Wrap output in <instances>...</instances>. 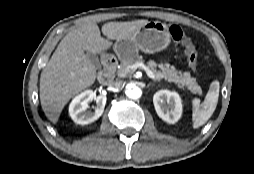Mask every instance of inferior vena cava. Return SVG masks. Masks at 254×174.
Here are the masks:
<instances>
[{"label": "inferior vena cava", "mask_w": 254, "mask_h": 174, "mask_svg": "<svg viewBox=\"0 0 254 174\" xmlns=\"http://www.w3.org/2000/svg\"><path fill=\"white\" fill-rule=\"evenodd\" d=\"M123 85V82L121 80H115L110 83V86L114 88H120Z\"/></svg>", "instance_id": "inferior-vena-cava-1"}]
</instances>
